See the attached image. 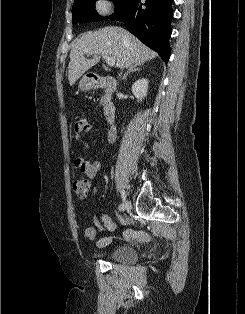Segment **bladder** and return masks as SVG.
<instances>
[{
	"label": "bladder",
	"mask_w": 245,
	"mask_h": 314,
	"mask_svg": "<svg viewBox=\"0 0 245 314\" xmlns=\"http://www.w3.org/2000/svg\"><path fill=\"white\" fill-rule=\"evenodd\" d=\"M93 258L132 263L136 260V252L128 246L118 245L105 251L95 252Z\"/></svg>",
	"instance_id": "31cf9c89"
}]
</instances>
